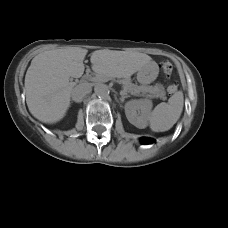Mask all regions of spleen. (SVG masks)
<instances>
[{
    "label": "spleen",
    "mask_w": 228,
    "mask_h": 228,
    "mask_svg": "<svg viewBox=\"0 0 228 228\" xmlns=\"http://www.w3.org/2000/svg\"><path fill=\"white\" fill-rule=\"evenodd\" d=\"M184 96L177 91L168 100L158 104L148 117L149 126L154 132H164L173 127L183 111Z\"/></svg>",
    "instance_id": "obj_1"
}]
</instances>
